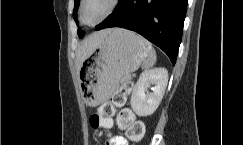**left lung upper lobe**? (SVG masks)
I'll return each mask as SVG.
<instances>
[{
	"label": "left lung upper lobe",
	"mask_w": 243,
	"mask_h": 145,
	"mask_svg": "<svg viewBox=\"0 0 243 145\" xmlns=\"http://www.w3.org/2000/svg\"><path fill=\"white\" fill-rule=\"evenodd\" d=\"M122 1L123 0H119L117 7L121 4ZM78 7H79V0H75L73 17L75 18V21H76L77 25H78V21L76 19V13H77ZM78 36L80 38L84 36V32L82 30H80V29L78 30Z\"/></svg>",
	"instance_id": "left-lung-upper-lobe-1"
}]
</instances>
